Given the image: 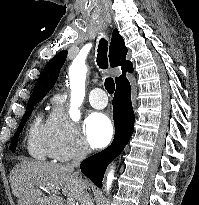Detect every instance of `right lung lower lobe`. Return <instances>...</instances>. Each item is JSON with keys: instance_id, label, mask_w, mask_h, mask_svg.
Masks as SVG:
<instances>
[{"instance_id": "right-lung-lower-lobe-1", "label": "right lung lower lobe", "mask_w": 199, "mask_h": 205, "mask_svg": "<svg viewBox=\"0 0 199 205\" xmlns=\"http://www.w3.org/2000/svg\"><path fill=\"white\" fill-rule=\"evenodd\" d=\"M113 119L115 136L112 144L103 151L85 159L81 171L98 187L109 163L116 158L127 145L134 130V112L131 103L130 83L124 79L119 84L113 98Z\"/></svg>"}]
</instances>
